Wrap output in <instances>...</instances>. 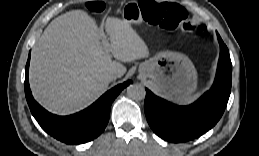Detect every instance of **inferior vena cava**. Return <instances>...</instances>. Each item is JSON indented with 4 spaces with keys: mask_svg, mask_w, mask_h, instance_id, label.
<instances>
[{
    "mask_svg": "<svg viewBox=\"0 0 259 156\" xmlns=\"http://www.w3.org/2000/svg\"><path fill=\"white\" fill-rule=\"evenodd\" d=\"M121 75L119 74V73H117V72H112V73H110L109 74V79H110V81H113V80H115L116 78H119Z\"/></svg>",
    "mask_w": 259,
    "mask_h": 156,
    "instance_id": "1",
    "label": "inferior vena cava"
}]
</instances>
